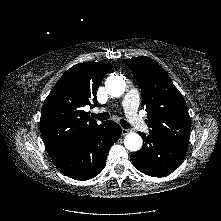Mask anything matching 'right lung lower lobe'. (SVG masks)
Returning a JSON list of instances; mask_svg holds the SVG:
<instances>
[{"label":"right lung lower lobe","instance_id":"98d812e1","mask_svg":"<svg viewBox=\"0 0 221 221\" xmlns=\"http://www.w3.org/2000/svg\"><path fill=\"white\" fill-rule=\"evenodd\" d=\"M121 127L104 121L85 135L73 148L52 158L55 166L75 180H88L102 171L110 147L120 138Z\"/></svg>","mask_w":221,"mask_h":221}]
</instances>
